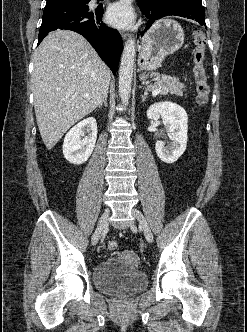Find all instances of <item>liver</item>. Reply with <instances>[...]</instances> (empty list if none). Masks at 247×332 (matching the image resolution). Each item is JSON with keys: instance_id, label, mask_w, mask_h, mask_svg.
<instances>
[{"instance_id": "1", "label": "liver", "mask_w": 247, "mask_h": 332, "mask_svg": "<svg viewBox=\"0 0 247 332\" xmlns=\"http://www.w3.org/2000/svg\"><path fill=\"white\" fill-rule=\"evenodd\" d=\"M31 81L39 132L50 150L103 101L110 71L84 37L57 30L36 49Z\"/></svg>"}]
</instances>
